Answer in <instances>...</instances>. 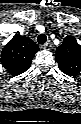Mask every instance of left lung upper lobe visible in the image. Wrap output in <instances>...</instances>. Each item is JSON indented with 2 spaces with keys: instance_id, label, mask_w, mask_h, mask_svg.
Masks as SVG:
<instances>
[{
  "instance_id": "obj_1",
  "label": "left lung upper lobe",
  "mask_w": 81,
  "mask_h": 124,
  "mask_svg": "<svg viewBox=\"0 0 81 124\" xmlns=\"http://www.w3.org/2000/svg\"><path fill=\"white\" fill-rule=\"evenodd\" d=\"M56 60L60 70L76 77L81 74V45L73 36H67L56 49Z\"/></svg>"
}]
</instances>
